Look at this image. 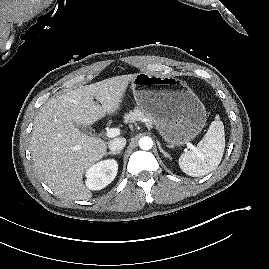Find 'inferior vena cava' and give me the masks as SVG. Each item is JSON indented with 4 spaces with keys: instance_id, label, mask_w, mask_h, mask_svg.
<instances>
[{
    "instance_id": "602c4592",
    "label": "inferior vena cava",
    "mask_w": 269,
    "mask_h": 269,
    "mask_svg": "<svg viewBox=\"0 0 269 269\" xmlns=\"http://www.w3.org/2000/svg\"><path fill=\"white\" fill-rule=\"evenodd\" d=\"M125 145H126V139L123 137L115 138L108 144L109 149L113 152L121 151L125 147Z\"/></svg>"
}]
</instances>
